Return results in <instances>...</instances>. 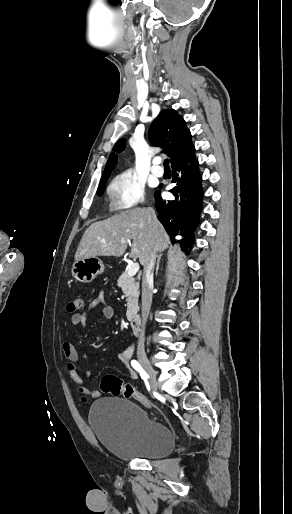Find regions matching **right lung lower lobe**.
I'll return each mask as SVG.
<instances>
[{"mask_svg":"<svg viewBox=\"0 0 292 514\" xmlns=\"http://www.w3.org/2000/svg\"><path fill=\"white\" fill-rule=\"evenodd\" d=\"M175 186L169 190L174 200H163L161 192H155V206L158 219L165 227L171 240L181 233L184 239L179 241L181 248L191 250L193 244L192 232L199 223L203 205V187L198 160L195 153L172 166ZM162 184L159 185V188Z\"/></svg>","mask_w":292,"mask_h":514,"instance_id":"1","label":"right lung lower lobe"}]
</instances>
